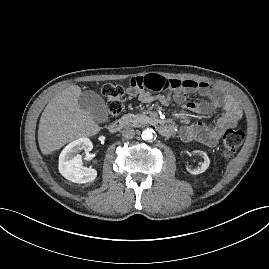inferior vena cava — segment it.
Returning <instances> with one entry per match:
<instances>
[{"label": "inferior vena cava", "mask_w": 269, "mask_h": 269, "mask_svg": "<svg viewBox=\"0 0 269 269\" xmlns=\"http://www.w3.org/2000/svg\"><path fill=\"white\" fill-rule=\"evenodd\" d=\"M122 136L126 139H132L135 136V130L131 127H125L122 130Z\"/></svg>", "instance_id": "602c4592"}]
</instances>
